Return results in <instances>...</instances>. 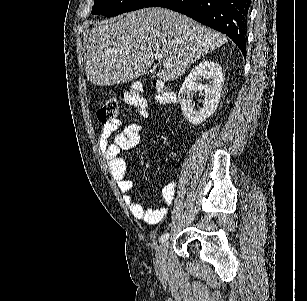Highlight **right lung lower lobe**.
Instances as JSON below:
<instances>
[{
    "instance_id": "98d812e1",
    "label": "right lung lower lobe",
    "mask_w": 307,
    "mask_h": 301,
    "mask_svg": "<svg viewBox=\"0 0 307 301\" xmlns=\"http://www.w3.org/2000/svg\"><path fill=\"white\" fill-rule=\"evenodd\" d=\"M251 0H152L145 7H166L229 36L246 56Z\"/></svg>"
}]
</instances>
